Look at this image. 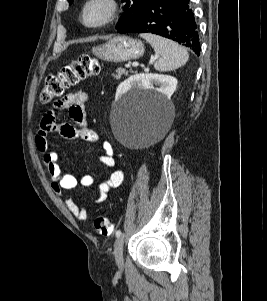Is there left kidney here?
<instances>
[{"mask_svg":"<svg viewBox=\"0 0 267 301\" xmlns=\"http://www.w3.org/2000/svg\"><path fill=\"white\" fill-rule=\"evenodd\" d=\"M177 79L169 75L162 74H136L122 82L116 91V99L129 92L133 86H138L144 90H155L163 96L170 98L176 90ZM154 85L159 86L157 88Z\"/></svg>","mask_w":267,"mask_h":301,"instance_id":"5707ae66","label":"left kidney"}]
</instances>
